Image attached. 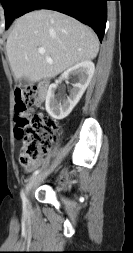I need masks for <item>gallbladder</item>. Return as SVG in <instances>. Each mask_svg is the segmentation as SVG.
Here are the masks:
<instances>
[{
    "mask_svg": "<svg viewBox=\"0 0 133 253\" xmlns=\"http://www.w3.org/2000/svg\"><path fill=\"white\" fill-rule=\"evenodd\" d=\"M30 84V81L26 78L19 79V85L22 87L28 86Z\"/></svg>",
    "mask_w": 133,
    "mask_h": 253,
    "instance_id": "1",
    "label": "gallbladder"
}]
</instances>
